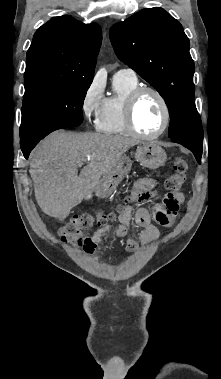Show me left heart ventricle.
<instances>
[{
  "mask_svg": "<svg viewBox=\"0 0 221 379\" xmlns=\"http://www.w3.org/2000/svg\"><path fill=\"white\" fill-rule=\"evenodd\" d=\"M135 125L144 134H154L162 126L163 111L159 100L151 93L143 94L135 107Z\"/></svg>",
  "mask_w": 221,
  "mask_h": 379,
  "instance_id": "b2bd125f",
  "label": "left heart ventricle"
}]
</instances>
